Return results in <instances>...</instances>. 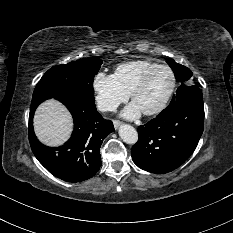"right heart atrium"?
I'll return each instance as SVG.
<instances>
[{
    "mask_svg": "<svg viewBox=\"0 0 233 233\" xmlns=\"http://www.w3.org/2000/svg\"><path fill=\"white\" fill-rule=\"evenodd\" d=\"M97 107L104 112H112L129 98V94L119 85L112 74L97 72L92 81Z\"/></svg>",
    "mask_w": 233,
    "mask_h": 233,
    "instance_id": "obj_1",
    "label": "right heart atrium"
}]
</instances>
